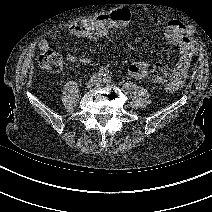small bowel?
<instances>
[{
    "label": "small bowel",
    "mask_w": 212,
    "mask_h": 212,
    "mask_svg": "<svg viewBox=\"0 0 212 212\" xmlns=\"http://www.w3.org/2000/svg\"><path fill=\"white\" fill-rule=\"evenodd\" d=\"M133 12L126 7L113 10L110 13H103L95 18L83 20L78 23H72L68 26L67 32L70 35L83 37L91 40H99L108 36L113 30L124 28L131 20ZM164 17L155 16L152 18V24L160 25L164 22ZM188 25L180 19H171L165 29L167 41L178 50L179 57L172 73V81L166 86L169 92L180 88L186 78L192 57L196 54V45L194 40L187 35ZM61 37V32L52 34L53 39ZM38 48L45 51L49 48V42L46 39L38 41ZM66 59L70 63L88 65L92 59L88 56H78L72 52H66ZM128 71L136 79L147 76L149 63L147 61H135L129 64Z\"/></svg>",
    "instance_id": "small-bowel-1"
}]
</instances>
